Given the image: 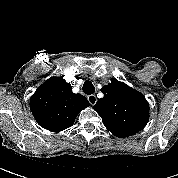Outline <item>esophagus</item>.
I'll list each match as a JSON object with an SVG mask.
<instances>
[{"label": "esophagus", "mask_w": 178, "mask_h": 178, "mask_svg": "<svg viewBox=\"0 0 178 178\" xmlns=\"http://www.w3.org/2000/svg\"><path fill=\"white\" fill-rule=\"evenodd\" d=\"M87 99H88L89 103H90L92 106L95 105L96 102H97V98H96V96H95L94 94L88 95V96H87Z\"/></svg>", "instance_id": "obj_1"}]
</instances>
